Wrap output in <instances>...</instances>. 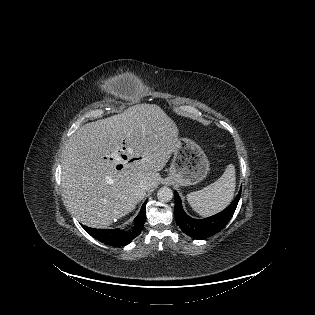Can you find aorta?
<instances>
[{
    "mask_svg": "<svg viewBox=\"0 0 315 315\" xmlns=\"http://www.w3.org/2000/svg\"><path fill=\"white\" fill-rule=\"evenodd\" d=\"M157 198L161 202H169L173 198V192L168 187H162L158 190Z\"/></svg>",
    "mask_w": 315,
    "mask_h": 315,
    "instance_id": "obj_1",
    "label": "aorta"
}]
</instances>
